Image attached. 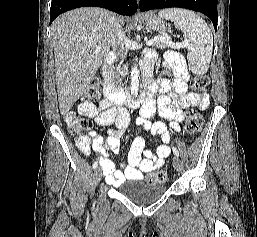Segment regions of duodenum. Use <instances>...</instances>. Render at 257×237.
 Wrapping results in <instances>:
<instances>
[{
    "mask_svg": "<svg viewBox=\"0 0 257 237\" xmlns=\"http://www.w3.org/2000/svg\"><path fill=\"white\" fill-rule=\"evenodd\" d=\"M117 56L114 52L108 53L102 67L103 86L105 98L113 103H126L129 106H138L148 95V88L151 83V75L148 68L141 67L143 77V88L137 94L133 95L118 86L112 79L109 67L116 61Z\"/></svg>",
    "mask_w": 257,
    "mask_h": 237,
    "instance_id": "obj_1",
    "label": "duodenum"
}]
</instances>
